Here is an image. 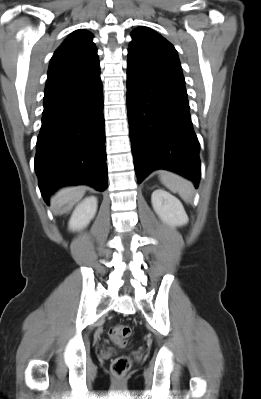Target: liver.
Instances as JSON below:
<instances>
[{"label": "liver", "instance_id": "1", "mask_svg": "<svg viewBox=\"0 0 261 399\" xmlns=\"http://www.w3.org/2000/svg\"><path fill=\"white\" fill-rule=\"evenodd\" d=\"M84 193L85 188L82 186L63 188L52 197L51 205L60 210V214L67 213L73 203L79 200Z\"/></svg>", "mask_w": 261, "mask_h": 399}]
</instances>
